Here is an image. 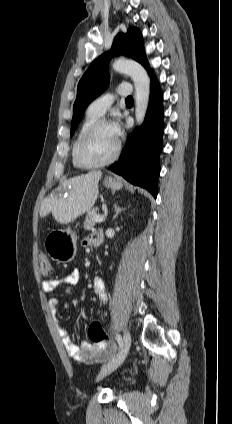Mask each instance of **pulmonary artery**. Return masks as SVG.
Listing matches in <instances>:
<instances>
[{
    "label": "pulmonary artery",
    "instance_id": "obj_1",
    "mask_svg": "<svg viewBox=\"0 0 232 424\" xmlns=\"http://www.w3.org/2000/svg\"><path fill=\"white\" fill-rule=\"evenodd\" d=\"M132 92V87L128 83H122L115 92H108L95 99L88 107V112L97 116L103 115L111 106L116 96H128Z\"/></svg>",
    "mask_w": 232,
    "mask_h": 424
}]
</instances>
